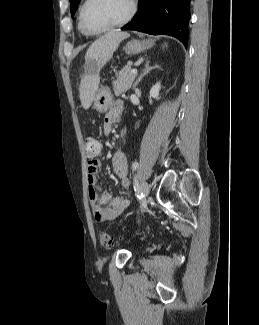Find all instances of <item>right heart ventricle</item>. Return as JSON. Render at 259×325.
Instances as JSON below:
<instances>
[{
    "label": "right heart ventricle",
    "mask_w": 259,
    "mask_h": 325,
    "mask_svg": "<svg viewBox=\"0 0 259 325\" xmlns=\"http://www.w3.org/2000/svg\"><path fill=\"white\" fill-rule=\"evenodd\" d=\"M81 7H82V6H81ZM78 29H79V31H80L82 34H84V35H89V34H87V33L82 29L81 24H80V21H79V18H78Z\"/></svg>",
    "instance_id": "obj_1"
}]
</instances>
